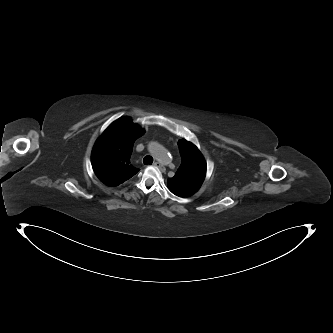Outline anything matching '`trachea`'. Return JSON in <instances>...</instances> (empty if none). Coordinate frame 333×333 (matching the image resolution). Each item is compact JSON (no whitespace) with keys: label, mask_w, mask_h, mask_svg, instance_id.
<instances>
[{"label":"trachea","mask_w":333,"mask_h":333,"mask_svg":"<svg viewBox=\"0 0 333 333\" xmlns=\"http://www.w3.org/2000/svg\"><path fill=\"white\" fill-rule=\"evenodd\" d=\"M143 163L145 165H150L153 163V158L151 156H145L143 159Z\"/></svg>","instance_id":"3493384b"}]
</instances>
